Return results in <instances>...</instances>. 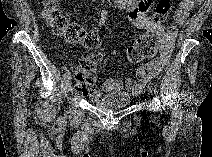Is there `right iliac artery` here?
Listing matches in <instances>:
<instances>
[{"instance_id": "right-iliac-artery-1", "label": "right iliac artery", "mask_w": 212, "mask_h": 157, "mask_svg": "<svg viewBox=\"0 0 212 157\" xmlns=\"http://www.w3.org/2000/svg\"><path fill=\"white\" fill-rule=\"evenodd\" d=\"M104 22H105V18L102 17V19H101V21L99 23V26L103 25ZM70 78H71V73L68 71V72L65 73L64 79H70Z\"/></svg>"}]
</instances>
